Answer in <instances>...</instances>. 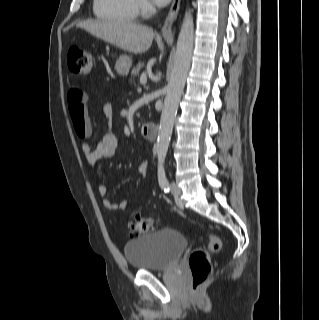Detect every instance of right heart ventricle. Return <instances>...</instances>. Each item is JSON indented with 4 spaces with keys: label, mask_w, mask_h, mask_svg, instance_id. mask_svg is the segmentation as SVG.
<instances>
[{
    "label": "right heart ventricle",
    "mask_w": 319,
    "mask_h": 320,
    "mask_svg": "<svg viewBox=\"0 0 319 320\" xmlns=\"http://www.w3.org/2000/svg\"><path fill=\"white\" fill-rule=\"evenodd\" d=\"M93 12L101 20L132 23L136 20L138 7L136 0H94Z\"/></svg>",
    "instance_id": "obj_1"
}]
</instances>
